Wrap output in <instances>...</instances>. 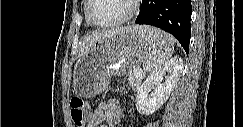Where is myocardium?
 <instances>
[{"label": "myocardium", "instance_id": "myocardium-1", "mask_svg": "<svg viewBox=\"0 0 243 127\" xmlns=\"http://www.w3.org/2000/svg\"><path fill=\"white\" fill-rule=\"evenodd\" d=\"M128 1L130 4V9L125 16H123L115 21L99 23V22H96L92 17V6L94 3V0H88V5H87V9H86L87 20L91 25H93L95 27H99V28L115 27V26L124 24L135 16V14L138 11V6H139V2H140L139 0H128Z\"/></svg>", "mask_w": 243, "mask_h": 127}]
</instances>
